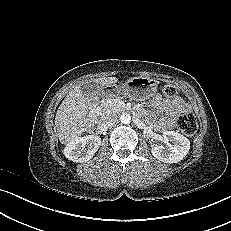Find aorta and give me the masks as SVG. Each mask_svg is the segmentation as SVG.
I'll list each match as a JSON object with an SVG mask.
<instances>
[{"label":"aorta","instance_id":"762f6f07","mask_svg":"<svg viewBox=\"0 0 231 231\" xmlns=\"http://www.w3.org/2000/svg\"><path fill=\"white\" fill-rule=\"evenodd\" d=\"M120 121L124 124H129L131 122V116L128 113H123L120 116Z\"/></svg>","mask_w":231,"mask_h":231}]
</instances>
